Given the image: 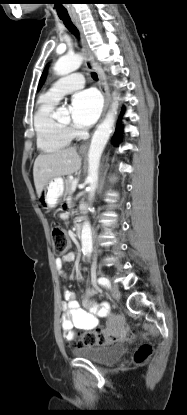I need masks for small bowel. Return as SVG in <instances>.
Segmentation results:
<instances>
[{
    "instance_id": "small-bowel-1",
    "label": "small bowel",
    "mask_w": 187,
    "mask_h": 415,
    "mask_svg": "<svg viewBox=\"0 0 187 415\" xmlns=\"http://www.w3.org/2000/svg\"><path fill=\"white\" fill-rule=\"evenodd\" d=\"M74 258L73 253H67L61 258H57L55 260L56 268L62 272L64 264L72 262ZM98 291L99 289L96 286L88 289L82 299V307L72 291L67 289L62 291L61 307L63 315L61 326L68 340H73L75 330H94L98 326L100 318H108L111 324L118 320V317L109 315V307L106 303H99L94 299Z\"/></svg>"
}]
</instances>
